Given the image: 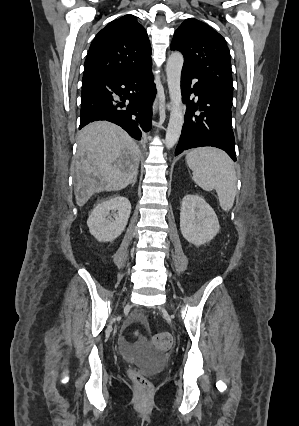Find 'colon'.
<instances>
[{"label":"colon","mask_w":299,"mask_h":426,"mask_svg":"<svg viewBox=\"0 0 299 426\" xmlns=\"http://www.w3.org/2000/svg\"><path fill=\"white\" fill-rule=\"evenodd\" d=\"M154 345L161 350L169 349L173 344V337L168 332L156 334L153 338ZM129 377L134 383L137 395L144 399L152 392V384L147 376L138 369H131Z\"/></svg>","instance_id":"obj_1"}]
</instances>
